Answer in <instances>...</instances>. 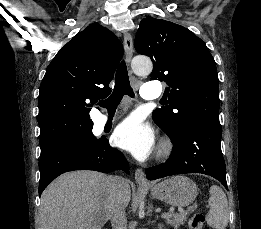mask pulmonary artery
I'll return each instance as SVG.
<instances>
[{"label":"pulmonary artery","instance_id":"pulmonary-artery-1","mask_svg":"<svg viewBox=\"0 0 261 229\" xmlns=\"http://www.w3.org/2000/svg\"><path fill=\"white\" fill-rule=\"evenodd\" d=\"M159 84H146L141 85V97L144 99H155L160 96L159 93Z\"/></svg>","mask_w":261,"mask_h":229}]
</instances>
